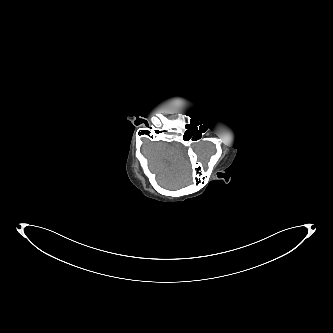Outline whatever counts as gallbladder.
<instances>
[{"label": "gallbladder", "instance_id": "obj_1", "mask_svg": "<svg viewBox=\"0 0 333 333\" xmlns=\"http://www.w3.org/2000/svg\"><path fill=\"white\" fill-rule=\"evenodd\" d=\"M188 105H190V106H191V101H190V100L188 101Z\"/></svg>", "mask_w": 333, "mask_h": 333}]
</instances>
